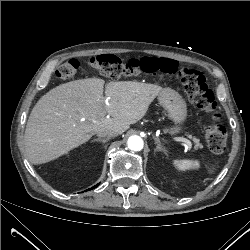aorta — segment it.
Segmentation results:
<instances>
[{
    "label": "aorta",
    "mask_w": 250,
    "mask_h": 250,
    "mask_svg": "<svg viewBox=\"0 0 250 250\" xmlns=\"http://www.w3.org/2000/svg\"><path fill=\"white\" fill-rule=\"evenodd\" d=\"M144 143L141 137L139 136H131L128 139V148L131 151H140L143 149Z\"/></svg>",
    "instance_id": "obj_1"
}]
</instances>
